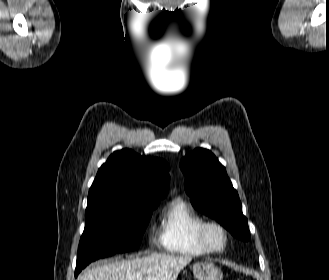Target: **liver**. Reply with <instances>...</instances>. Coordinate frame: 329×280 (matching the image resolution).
I'll list each match as a JSON object with an SVG mask.
<instances>
[{
	"mask_svg": "<svg viewBox=\"0 0 329 280\" xmlns=\"http://www.w3.org/2000/svg\"><path fill=\"white\" fill-rule=\"evenodd\" d=\"M191 261L188 256L151 254L96 265L85 270L78 280H176Z\"/></svg>",
	"mask_w": 329,
	"mask_h": 280,
	"instance_id": "liver-1",
	"label": "liver"
}]
</instances>
